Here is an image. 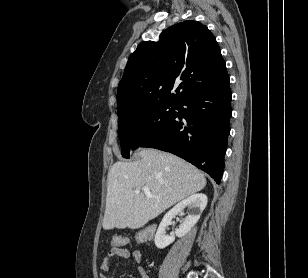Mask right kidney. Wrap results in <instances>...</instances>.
Here are the masks:
<instances>
[{
	"mask_svg": "<svg viewBox=\"0 0 308 278\" xmlns=\"http://www.w3.org/2000/svg\"><path fill=\"white\" fill-rule=\"evenodd\" d=\"M207 205V196L200 193L195 194L187 199L178 203L173 209L163 217L158 230L155 235V245L159 249H163L174 242V235H166V227L172 224V219L174 216L178 215L183 211L185 207L192 209V213L189 214L181 223L179 228L176 230L175 234L177 237L185 236L192 227L198 222L201 213Z\"/></svg>",
	"mask_w": 308,
	"mask_h": 278,
	"instance_id": "1",
	"label": "right kidney"
}]
</instances>
